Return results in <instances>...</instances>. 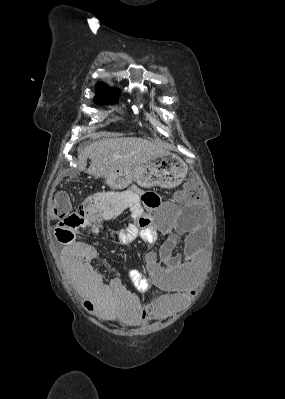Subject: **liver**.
<instances>
[{
  "mask_svg": "<svg viewBox=\"0 0 285 399\" xmlns=\"http://www.w3.org/2000/svg\"><path fill=\"white\" fill-rule=\"evenodd\" d=\"M165 153L159 144L137 137L105 138L79 150L77 167L95 177H107L128 171ZM91 160L87 169V159Z\"/></svg>",
  "mask_w": 285,
  "mask_h": 399,
  "instance_id": "liver-1",
  "label": "liver"
}]
</instances>
